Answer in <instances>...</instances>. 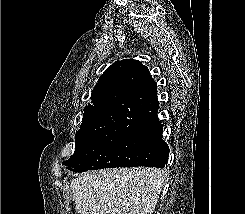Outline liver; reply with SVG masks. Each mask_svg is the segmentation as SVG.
I'll return each mask as SVG.
<instances>
[{
  "instance_id": "obj_1",
  "label": "liver",
  "mask_w": 245,
  "mask_h": 214,
  "mask_svg": "<svg viewBox=\"0 0 245 214\" xmlns=\"http://www.w3.org/2000/svg\"><path fill=\"white\" fill-rule=\"evenodd\" d=\"M166 181L156 168L101 169L72 179L70 187L80 214H152Z\"/></svg>"
}]
</instances>
